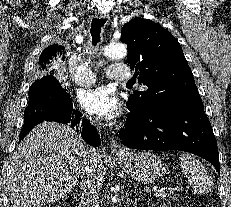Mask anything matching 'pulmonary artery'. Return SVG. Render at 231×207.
<instances>
[{"label":"pulmonary artery","instance_id":"obj_1","mask_svg":"<svg viewBox=\"0 0 231 207\" xmlns=\"http://www.w3.org/2000/svg\"><path fill=\"white\" fill-rule=\"evenodd\" d=\"M107 75L111 79L127 80L131 77V70L121 64H114L107 68ZM96 80L95 74L86 66H80L73 76V81L79 86L92 85Z\"/></svg>","mask_w":231,"mask_h":207}]
</instances>
